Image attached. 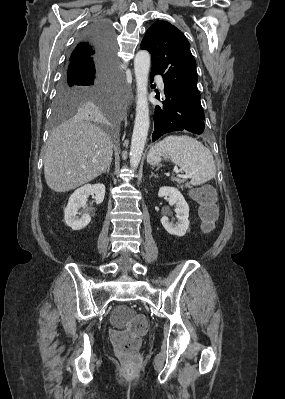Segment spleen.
<instances>
[{
  "mask_svg": "<svg viewBox=\"0 0 285 399\" xmlns=\"http://www.w3.org/2000/svg\"><path fill=\"white\" fill-rule=\"evenodd\" d=\"M154 148L189 174L192 185H201L216 176L211 151L195 138L187 135L168 136Z\"/></svg>",
  "mask_w": 285,
  "mask_h": 399,
  "instance_id": "1",
  "label": "spleen"
}]
</instances>
